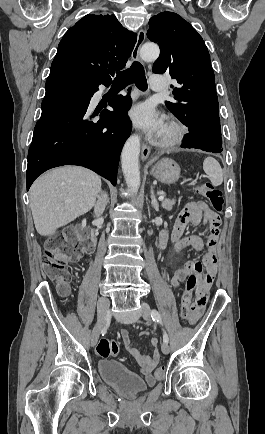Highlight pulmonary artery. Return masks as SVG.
<instances>
[{
    "label": "pulmonary artery",
    "instance_id": "obj_1",
    "mask_svg": "<svg viewBox=\"0 0 265 434\" xmlns=\"http://www.w3.org/2000/svg\"><path fill=\"white\" fill-rule=\"evenodd\" d=\"M164 80L163 75H150L148 78L150 84H163Z\"/></svg>",
    "mask_w": 265,
    "mask_h": 434
}]
</instances>
